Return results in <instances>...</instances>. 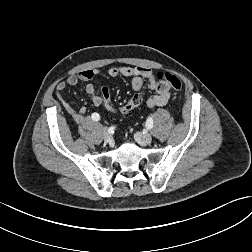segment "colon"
<instances>
[{
    "label": "colon",
    "mask_w": 252,
    "mask_h": 252,
    "mask_svg": "<svg viewBox=\"0 0 252 252\" xmlns=\"http://www.w3.org/2000/svg\"><path fill=\"white\" fill-rule=\"evenodd\" d=\"M156 78L158 80H164L176 91L180 90L182 87L181 80L171 73L159 72L156 74ZM99 95L101 106H103L107 111L115 114H129L138 108L142 103V96L139 93L133 94L127 101L119 104L114 102L108 88L106 87L100 88Z\"/></svg>",
    "instance_id": "obj_1"
}]
</instances>
